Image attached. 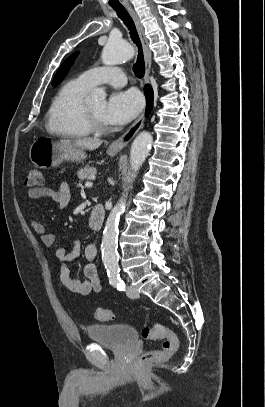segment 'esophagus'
<instances>
[{"label":"esophagus","mask_w":265,"mask_h":407,"mask_svg":"<svg viewBox=\"0 0 265 407\" xmlns=\"http://www.w3.org/2000/svg\"><path fill=\"white\" fill-rule=\"evenodd\" d=\"M127 9L135 21V24H136V27H137V30H138V33H139V36H140V39H141V42L143 45L144 61H145L144 80H145V83H149V74H150V68H151V51L149 48V42L145 35L143 25L140 22L137 14L135 13V11L132 9L131 6H128ZM144 121H145V112H143L136 119V121L126 130V132L124 134H122L118 139H116L115 141H113L110 144V147H109L110 150L120 151L121 149H123L135 137V135L139 132V130L143 127Z\"/></svg>","instance_id":"34e87169"}]
</instances>
